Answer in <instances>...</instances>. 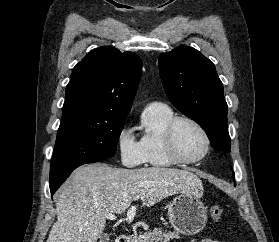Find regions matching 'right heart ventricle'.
Here are the masks:
<instances>
[{"instance_id": "1", "label": "right heart ventricle", "mask_w": 279, "mask_h": 242, "mask_svg": "<svg viewBox=\"0 0 279 242\" xmlns=\"http://www.w3.org/2000/svg\"><path fill=\"white\" fill-rule=\"evenodd\" d=\"M175 116L173 110L163 104L149 105L142 116L143 132L139 144L145 162L154 167H171L176 162L168 155L164 145V130Z\"/></svg>"}]
</instances>
